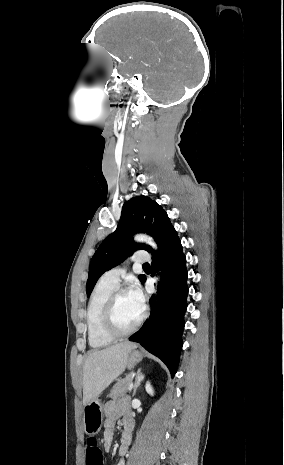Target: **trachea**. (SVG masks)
Here are the masks:
<instances>
[{"mask_svg":"<svg viewBox=\"0 0 284 465\" xmlns=\"http://www.w3.org/2000/svg\"><path fill=\"white\" fill-rule=\"evenodd\" d=\"M143 269H150V265L148 263L143 264Z\"/></svg>","mask_w":284,"mask_h":465,"instance_id":"3493384b","label":"trachea"}]
</instances>
